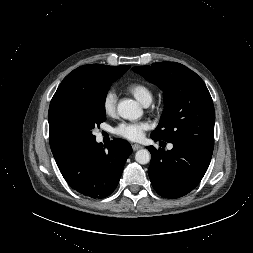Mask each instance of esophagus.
<instances>
[{"mask_svg": "<svg viewBox=\"0 0 253 253\" xmlns=\"http://www.w3.org/2000/svg\"><path fill=\"white\" fill-rule=\"evenodd\" d=\"M141 148H142V146L139 145V144H133V145H132V149H133L134 151H137V150H139V149H141Z\"/></svg>", "mask_w": 253, "mask_h": 253, "instance_id": "1", "label": "esophagus"}]
</instances>
